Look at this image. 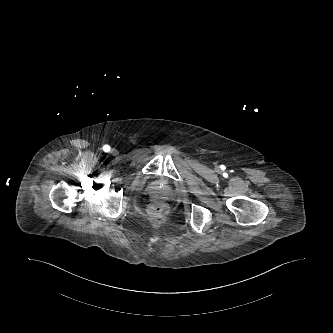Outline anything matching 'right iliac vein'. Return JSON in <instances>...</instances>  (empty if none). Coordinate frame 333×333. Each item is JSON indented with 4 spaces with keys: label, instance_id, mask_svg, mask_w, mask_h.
I'll return each mask as SVG.
<instances>
[{
    "label": "right iliac vein",
    "instance_id": "63e3f726",
    "mask_svg": "<svg viewBox=\"0 0 333 333\" xmlns=\"http://www.w3.org/2000/svg\"><path fill=\"white\" fill-rule=\"evenodd\" d=\"M111 153H112V154H116V153H117V150H116V149H112V150H111Z\"/></svg>",
    "mask_w": 333,
    "mask_h": 333
}]
</instances>
